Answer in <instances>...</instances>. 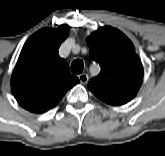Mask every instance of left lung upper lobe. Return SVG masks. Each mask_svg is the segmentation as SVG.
Listing matches in <instances>:
<instances>
[{
  "mask_svg": "<svg viewBox=\"0 0 165 156\" xmlns=\"http://www.w3.org/2000/svg\"><path fill=\"white\" fill-rule=\"evenodd\" d=\"M86 42L91 58L101 71L88 88L103 102L123 105L132 100L143 80V67L132 42L118 29L105 26L93 32Z\"/></svg>",
  "mask_w": 165,
  "mask_h": 156,
  "instance_id": "obj_1",
  "label": "left lung upper lobe"
}]
</instances>
